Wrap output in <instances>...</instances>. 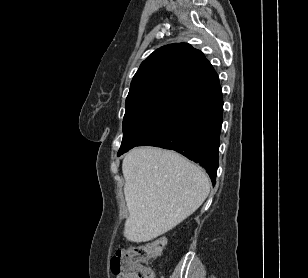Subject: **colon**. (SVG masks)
I'll return each mask as SVG.
<instances>
[{
    "label": "colon",
    "instance_id": "5ec220e1",
    "mask_svg": "<svg viewBox=\"0 0 308 278\" xmlns=\"http://www.w3.org/2000/svg\"><path fill=\"white\" fill-rule=\"evenodd\" d=\"M166 243L160 236L147 243L119 249L111 259L112 272L117 278H154L149 261L159 256Z\"/></svg>",
    "mask_w": 308,
    "mask_h": 278
}]
</instances>
